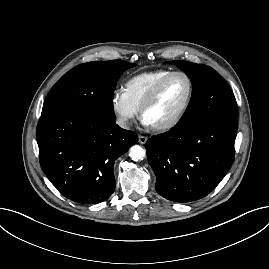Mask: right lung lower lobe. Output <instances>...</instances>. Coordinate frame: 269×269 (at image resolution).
<instances>
[{"mask_svg": "<svg viewBox=\"0 0 269 269\" xmlns=\"http://www.w3.org/2000/svg\"><path fill=\"white\" fill-rule=\"evenodd\" d=\"M36 137L44 173L79 204L100 203L113 193L115 160L138 142L135 132L115 122L69 111L41 115Z\"/></svg>", "mask_w": 269, "mask_h": 269, "instance_id": "right-lung-lower-lobe-1", "label": "right lung lower lobe"}]
</instances>
